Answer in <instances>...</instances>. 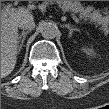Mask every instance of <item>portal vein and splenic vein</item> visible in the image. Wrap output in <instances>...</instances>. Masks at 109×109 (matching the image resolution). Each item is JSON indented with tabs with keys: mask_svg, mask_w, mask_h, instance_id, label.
I'll use <instances>...</instances> for the list:
<instances>
[{
	"mask_svg": "<svg viewBox=\"0 0 109 109\" xmlns=\"http://www.w3.org/2000/svg\"><path fill=\"white\" fill-rule=\"evenodd\" d=\"M24 10V8L20 7V8H14L11 6H6L3 11H2V17H6L8 15H12L15 14L17 12H22ZM72 18L74 19L75 22L79 23V19L72 13H70Z\"/></svg>",
	"mask_w": 109,
	"mask_h": 109,
	"instance_id": "obj_1",
	"label": "portal vein and splenic vein"
}]
</instances>
